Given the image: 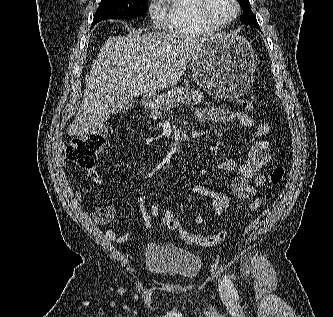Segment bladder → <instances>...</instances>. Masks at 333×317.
Segmentation results:
<instances>
[{
  "instance_id": "31cf9c89",
  "label": "bladder",
  "mask_w": 333,
  "mask_h": 317,
  "mask_svg": "<svg viewBox=\"0 0 333 317\" xmlns=\"http://www.w3.org/2000/svg\"><path fill=\"white\" fill-rule=\"evenodd\" d=\"M144 261L149 272L182 281L195 279L202 269L198 255L170 245L149 244L144 250Z\"/></svg>"
}]
</instances>
